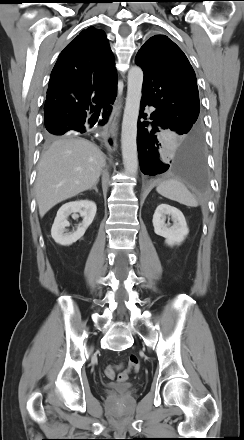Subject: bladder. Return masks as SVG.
I'll list each match as a JSON object with an SVG mask.
<instances>
[{
    "mask_svg": "<svg viewBox=\"0 0 244 440\" xmlns=\"http://www.w3.org/2000/svg\"><path fill=\"white\" fill-rule=\"evenodd\" d=\"M106 388L118 395H125L131 390L130 385H118L113 383L107 384Z\"/></svg>",
    "mask_w": 244,
    "mask_h": 440,
    "instance_id": "31cf9c89",
    "label": "bladder"
}]
</instances>
